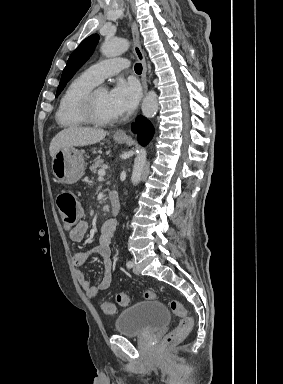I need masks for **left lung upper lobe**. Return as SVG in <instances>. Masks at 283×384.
Listing matches in <instances>:
<instances>
[{
  "instance_id": "obj_1",
  "label": "left lung upper lobe",
  "mask_w": 283,
  "mask_h": 384,
  "mask_svg": "<svg viewBox=\"0 0 283 384\" xmlns=\"http://www.w3.org/2000/svg\"><path fill=\"white\" fill-rule=\"evenodd\" d=\"M99 35L93 34L84 39L80 45L70 55L67 65L63 70L59 86L57 88L56 97L61 93L67 82L73 77L76 71L89 59L92 55Z\"/></svg>"
}]
</instances>
